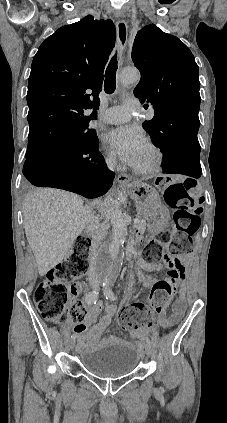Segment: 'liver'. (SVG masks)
<instances>
[{"mask_svg":"<svg viewBox=\"0 0 227 423\" xmlns=\"http://www.w3.org/2000/svg\"><path fill=\"white\" fill-rule=\"evenodd\" d=\"M23 210V225L39 275L60 263L78 235L89 229L83 200L71 192L36 188L25 198Z\"/></svg>","mask_w":227,"mask_h":423,"instance_id":"6515ba94","label":"liver"}]
</instances>
